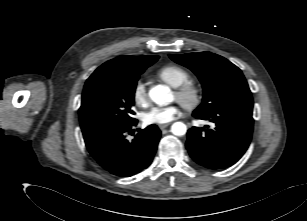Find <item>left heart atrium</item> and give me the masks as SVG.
I'll use <instances>...</instances> for the list:
<instances>
[{
    "label": "left heart atrium",
    "mask_w": 307,
    "mask_h": 221,
    "mask_svg": "<svg viewBox=\"0 0 307 221\" xmlns=\"http://www.w3.org/2000/svg\"><path fill=\"white\" fill-rule=\"evenodd\" d=\"M179 113L180 108L177 104L154 107L144 114L143 120L146 124H166L173 121Z\"/></svg>",
    "instance_id": "obj_1"
}]
</instances>
